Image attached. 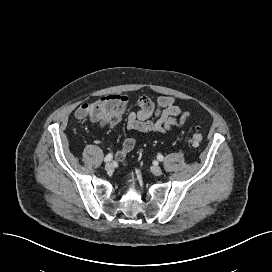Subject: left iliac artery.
<instances>
[{
  "label": "left iliac artery",
  "mask_w": 272,
  "mask_h": 272,
  "mask_svg": "<svg viewBox=\"0 0 272 272\" xmlns=\"http://www.w3.org/2000/svg\"><path fill=\"white\" fill-rule=\"evenodd\" d=\"M157 159H158L159 161H163L164 157H163L161 154H159V155L157 156Z\"/></svg>",
  "instance_id": "1"
}]
</instances>
